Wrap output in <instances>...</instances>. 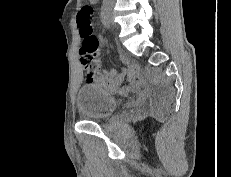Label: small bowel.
<instances>
[{"label": "small bowel", "mask_w": 231, "mask_h": 177, "mask_svg": "<svg viewBox=\"0 0 231 177\" xmlns=\"http://www.w3.org/2000/svg\"><path fill=\"white\" fill-rule=\"evenodd\" d=\"M90 2L95 3L96 1L90 0ZM83 67L86 71V80L89 84L104 87L112 93L123 95L130 91L137 90L143 84V79L139 74L138 68L135 66H126L120 73L115 70H105L100 73L97 71L96 62L93 63L92 67L86 68L84 65ZM125 79L128 83L123 85L122 83Z\"/></svg>", "instance_id": "small-bowel-1"}]
</instances>
